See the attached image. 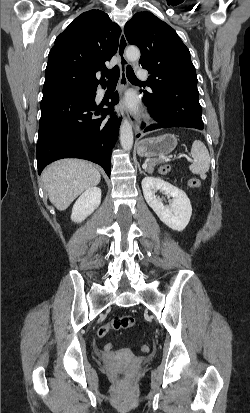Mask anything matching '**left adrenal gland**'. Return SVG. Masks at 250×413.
I'll use <instances>...</instances> for the list:
<instances>
[{"label": "left adrenal gland", "mask_w": 250, "mask_h": 413, "mask_svg": "<svg viewBox=\"0 0 250 413\" xmlns=\"http://www.w3.org/2000/svg\"><path fill=\"white\" fill-rule=\"evenodd\" d=\"M139 171H140V173L145 174V172L141 170L140 166H139Z\"/></svg>", "instance_id": "obj_1"}]
</instances>
